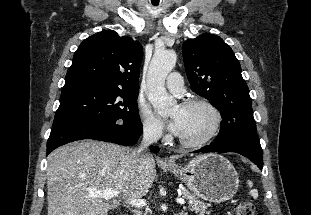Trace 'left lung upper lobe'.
Returning a JSON list of instances; mask_svg holds the SVG:
<instances>
[{
	"label": "left lung upper lobe",
	"mask_w": 311,
	"mask_h": 215,
	"mask_svg": "<svg viewBox=\"0 0 311 215\" xmlns=\"http://www.w3.org/2000/svg\"><path fill=\"white\" fill-rule=\"evenodd\" d=\"M191 89L209 100L223 118L215 142L231 136H257L251 98L232 49L218 36L203 33L182 45Z\"/></svg>",
	"instance_id": "left-lung-upper-lobe-1"
}]
</instances>
